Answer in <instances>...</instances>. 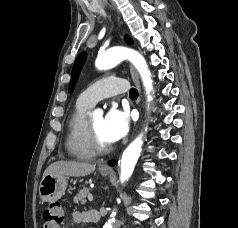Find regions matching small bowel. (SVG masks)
Returning a JSON list of instances; mask_svg holds the SVG:
<instances>
[{
    "instance_id": "small-bowel-1",
    "label": "small bowel",
    "mask_w": 238,
    "mask_h": 228,
    "mask_svg": "<svg viewBox=\"0 0 238 228\" xmlns=\"http://www.w3.org/2000/svg\"><path fill=\"white\" fill-rule=\"evenodd\" d=\"M72 220L74 223H82V222L88 221L85 217V213H79V212H76L73 214ZM43 228H61V225L59 223H52V224L43 225Z\"/></svg>"
}]
</instances>
